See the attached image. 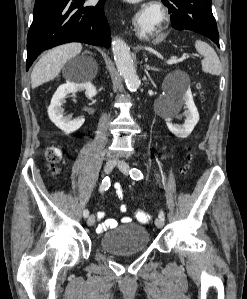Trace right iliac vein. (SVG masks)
<instances>
[{
  "label": "right iliac vein",
  "mask_w": 247,
  "mask_h": 299,
  "mask_svg": "<svg viewBox=\"0 0 247 299\" xmlns=\"http://www.w3.org/2000/svg\"><path fill=\"white\" fill-rule=\"evenodd\" d=\"M115 165H116L115 159L107 160V162L104 165V173L109 174L113 170ZM94 223H95V216L90 215L87 219V224H88V226H92Z\"/></svg>",
  "instance_id": "63e3f726"
}]
</instances>
